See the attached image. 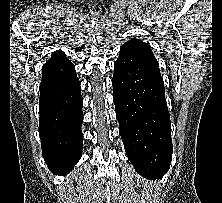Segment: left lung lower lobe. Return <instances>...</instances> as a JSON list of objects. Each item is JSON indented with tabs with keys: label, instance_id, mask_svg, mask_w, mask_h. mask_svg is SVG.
Wrapping results in <instances>:
<instances>
[{
	"label": "left lung lower lobe",
	"instance_id": "obj_1",
	"mask_svg": "<svg viewBox=\"0 0 222 203\" xmlns=\"http://www.w3.org/2000/svg\"><path fill=\"white\" fill-rule=\"evenodd\" d=\"M113 99L125 151L143 176H162L172 159L164 82L151 47L132 39L114 64Z\"/></svg>",
	"mask_w": 222,
	"mask_h": 203
}]
</instances>
